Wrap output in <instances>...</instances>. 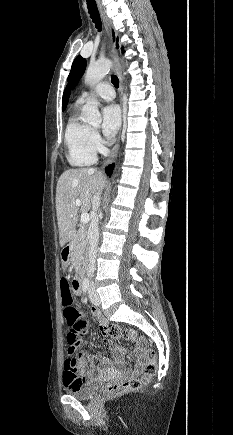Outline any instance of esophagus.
I'll use <instances>...</instances> for the list:
<instances>
[{
  "mask_svg": "<svg viewBox=\"0 0 233 435\" xmlns=\"http://www.w3.org/2000/svg\"><path fill=\"white\" fill-rule=\"evenodd\" d=\"M99 8L101 10V14H102V18H103V21H104L105 29H106V32L108 34L109 40H110V53H111L112 61L114 63L113 71L116 73V75L118 76V79H119V98H120V104H121V109H122V119H123V117H124V104H123V89H124V86H123V78H122V75H121V70H120V66H119V62H118L117 51H116L115 46H114L113 41H112L111 25H110V23L108 21V18L105 15V13L103 12V10L101 8V5H99ZM121 133H122V127H121V130H120V133H119L118 140H117L116 144L114 145V147L112 148V150L110 151V153H109V155H108V157L106 159L105 165L110 164L115 159V157L117 156V153H118V150H119V146H120Z\"/></svg>",
  "mask_w": 233,
  "mask_h": 435,
  "instance_id": "obj_1",
  "label": "esophagus"
}]
</instances>
